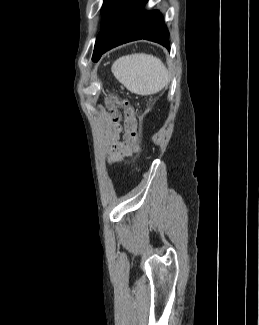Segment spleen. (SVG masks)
Wrapping results in <instances>:
<instances>
[{"instance_id":"obj_1","label":"spleen","mask_w":259,"mask_h":325,"mask_svg":"<svg viewBox=\"0 0 259 325\" xmlns=\"http://www.w3.org/2000/svg\"><path fill=\"white\" fill-rule=\"evenodd\" d=\"M112 73L130 92L151 95L168 83V70L157 57L145 53L122 56L112 65Z\"/></svg>"}]
</instances>
